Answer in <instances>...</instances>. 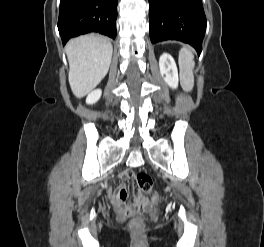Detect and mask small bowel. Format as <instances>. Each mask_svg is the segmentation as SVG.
Instances as JSON below:
<instances>
[{
    "mask_svg": "<svg viewBox=\"0 0 264 247\" xmlns=\"http://www.w3.org/2000/svg\"><path fill=\"white\" fill-rule=\"evenodd\" d=\"M132 174L129 172L122 173L123 178H129ZM139 199H143V195L141 193L138 194ZM127 199V191L124 186L120 187L113 193L112 200L114 203L119 204L122 201Z\"/></svg>",
    "mask_w": 264,
    "mask_h": 247,
    "instance_id": "obj_1",
    "label": "small bowel"
}]
</instances>
